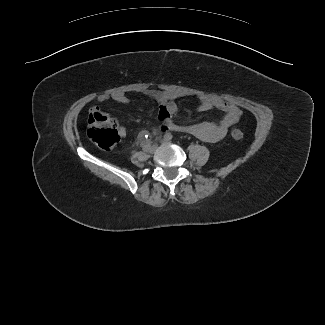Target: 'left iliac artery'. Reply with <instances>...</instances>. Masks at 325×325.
<instances>
[{
  "instance_id": "left-iliac-artery-1",
  "label": "left iliac artery",
  "mask_w": 325,
  "mask_h": 325,
  "mask_svg": "<svg viewBox=\"0 0 325 325\" xmlns=\"http://www.w3.org/2000/svg\"><path fill=\"white\" fill-rule=\"evenodd\" d=\"M164 138L167 139V140H171L173 138L172 134L171 133H166L164 135Z\"/></svg>"
}]
</instances>
